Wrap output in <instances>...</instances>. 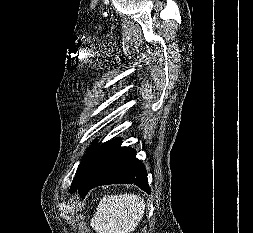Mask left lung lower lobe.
Returning <instances> with one entry per match:
<instances>
[{
    "mask_svg": "<svg viewBox=\"0 0 253 233\" xmlns=\"http://www.w3.org/2000/svg\"><path fill=\"white\" fill-rule=\"evenodd\" d=\"M117 183H134L150 193L145 166L135 157L132 148L121 147V139L105 144L90 173L69 192L77 190L84 197L96 186Z\"/></svg>",
    "mask_w": 253,
    "mask_h": 233,
    "instance_id": "obj_1",
    "label": "left lung lower lobe"
}]
</instances>
